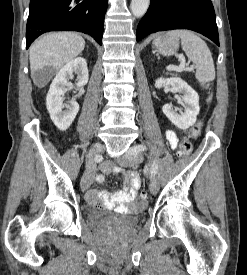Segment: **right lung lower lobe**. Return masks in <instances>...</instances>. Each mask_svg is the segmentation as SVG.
<instances>
[{
  "label": "right lung lower lobe",
  "instance_id": "1",
  "mask_svg": "<svg viewBox=\"0 0 247 275\" xmlns=\"http://www.w3.org/2000/svg\"><path fill=\"white\" fill-rule=\"evenodd\" d=\"M108 0H31L26 48L42 33L72 30L91 35L102 44Z\"/></svg>",
  "mask_w": 247,
  "mask_h": 275
}]
</instances>
